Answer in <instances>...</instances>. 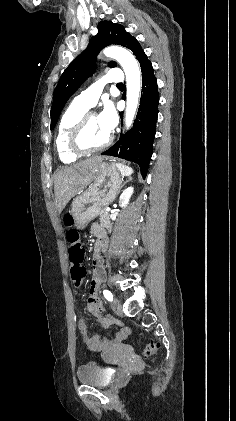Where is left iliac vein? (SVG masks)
<instances>
[{
  "instance_id": "4c4485c4",
  "label": "left iliac vein",
  "mask_w": 236,
  "mask_h": 421,
  "mask_svg": "<svg viewBox=\"0 0 236 421\" xmlns=\"http://www.w3.org/2000/svg\"><path fill=\"white\" fill-rule=\"evenodd\" d=\"M111 308H112V310H113L116 314H118V315H120V314H121V312H122V307H121V303H120V301H119V299H118V298H115V299L113 300V302L111 303Z\"/></svg>"
}]
</instances>
